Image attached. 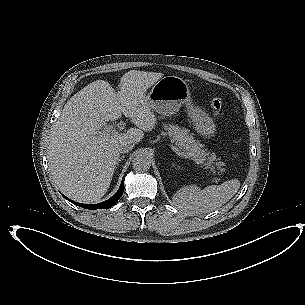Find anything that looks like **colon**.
I'll list each match as a JSON object with an SVG mask.
<instances>
[{
	"label": "colon",
	"mask_w": 305,
	"mask_h": 305,
	"mask_svg": "<svg viewBox=\"0 0 305 305\" xmlns=\"http://www.w3.org/2000/svg\"><path fill=\"white\" fill-rule=\"evenodd\" d=\"M211 108H212V111H213V115L216 118H220L224 113L223 103H222V100L220 98L212 99Z\"/></svg>",
	"instance_id": "colon-1"
}]
</instances>
